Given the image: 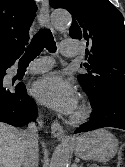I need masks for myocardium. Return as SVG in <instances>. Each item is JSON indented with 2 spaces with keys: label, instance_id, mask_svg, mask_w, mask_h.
I'll return each mask as SVG.
<instances>
[{
  "label": "myocardium",
  "instance_id": "myocardium-1",
  "mask_svg": "<svg viewBox=\"0 0 125 167\" xmlns=\"http://www.w3.org/2000/svg\"><path fill=\"white\" fill-rule=\"evenodd\" d=\"M90 114V109L85 102L79 104L75 112L71 115L70 121L72 123L84 122Z\"/></svg>",
  "mask_w": 125,
  "mask_h": 167
}]
</instances>
